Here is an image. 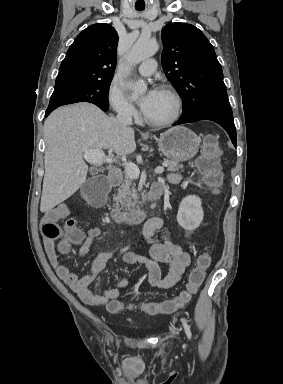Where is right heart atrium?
<instances>
[{
  "label": "right heart atrium",
  "instance_id": "right-heart-atrium-1",
  "mask_svg": "<svg viewBox=\"0 0 283 384\" xmlns=\"http://www.w3.org/2000/svg\"><path fill=\"white\" fill-rule=\"evenodd\" d=\"M107 96L110 107L119 117L132 119L136 116L135 106L127 99L123 88L115 81L110 82Z\"/></svg>",
  "mask_w": 283,
  "mask_h": 384
}]
</instances>
